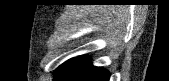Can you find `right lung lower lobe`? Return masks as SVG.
Here are the masks:
<instances>
[{
	"label": "right lung lower lobe",
	"instance_id": "right-lung-lower-lobe-1",
	"mask_svg": "<svg viewBox=\"0 0 169 81\" xmlns=\"http://www.w3.org/2000/svg\"><path fill=\"white\" fill-rule=\"evenodd\" d=\"M55 81H108L109 73L91 65L87 57H76L62 64L55 72Z\"/></svg>",
	"mask_w": 169,
	"mask_h": 81
}]
</instances>
